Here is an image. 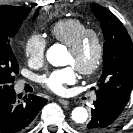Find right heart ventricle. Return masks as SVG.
I'll list each match as a JSON object with an SVG mask.
<instances>
[{"label":"right heart ventricle","mask_w":133,"mask_h":133,"mask_svg":"<svg viewBox=\"0 0 133 133\" xmlns=\"http://www.w3.org/2000/svg\"><path fill=\"white\" fill-rule=\"evenodd\" d=\"M87 24L78 18H66L57 21L50 28L51 37L66 46L71 45Z\"/></svg>","instance_id":"right-heart-ventricle-1"}]
</instances>
